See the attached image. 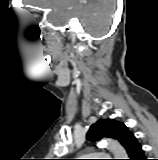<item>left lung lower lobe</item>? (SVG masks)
<instances>
[{"label": "left lung lower lobe", "mask_w": 158, "mask_h": 160, "mask_svg": "<svg viewBox=\"0 0 158 160\" xmlns=\"http://www.w3.org/2000/svg\"><path fill=\"white\" fill-rule=\"evenodd\" d=\"M124 147L129 157L128 160H146L142 146L133 133L127 138Z\"/></svg>", "instance_id": "0a47b994"}]
</instances>
